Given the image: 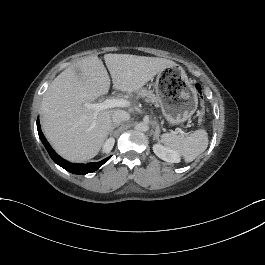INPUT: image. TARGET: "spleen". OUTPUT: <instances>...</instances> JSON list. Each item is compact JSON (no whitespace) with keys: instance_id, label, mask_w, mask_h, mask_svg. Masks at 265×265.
Wrapping results in <instances>:
<instances>
[{"instance_id":"obj_1","label":"spleen","mask_w":265,"mask_h":265,"mask_svg":"<svg viewBox=\"0 0 265 265\" xmlns=\"http://www.w3.org/2000/svg\"><path fill=\"white\" fill-rule=\"evenodd\" d=\"M160 142L164 146L175 150L185 162H190L207 148L209 138L207 129L203 126L183 136L173 133H163Z\"/></svg>"}]
</instances>
